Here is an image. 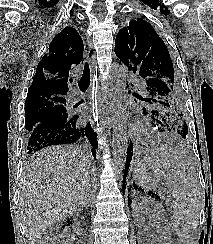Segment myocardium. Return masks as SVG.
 <instances>
[{"label":"myocardium","mask_w":213,"mask_h":244,"mask_svg":"<svg viewBox=\"0 0 213 244\" xmlns=\"http://www.w3.org/2000/svg\"><path fill=\"white\" fill-rule=\"evenodd\" d=\"M145 129V124L143 122H137L133 125V130L135 132H142Z\"/></svg>","instance_id":"obj_1"}]
</instances>
